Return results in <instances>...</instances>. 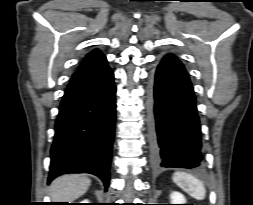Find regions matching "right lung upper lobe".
<instances>
[{"label": "right lung upper lobe", "mask_w": 253, "mask_h": 205, "mask_svg": "<svg viewBox=\"0 0 253 205\" xmlns=\"http://www.w3.org/2000/svg\"><path fill=\"white\" fill-rule=\"evenodd\" d=\"M106 59L99 50H93L86 55L78 70L94 65L95 63Z\"/></svg>", "instance_id": "right-lung-upper-lobe-1"}]
</instances>
